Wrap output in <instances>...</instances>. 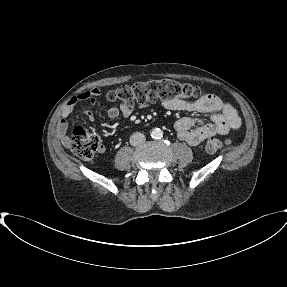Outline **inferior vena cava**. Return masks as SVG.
Returning a JSON list of instances; mask_svg holds the SVG:
<instances>
[{
    "mask_svg": "<svg viewBox=\"0 0 287 287\" xmlns=\"http://www.w3.org/2000/svg\"><path fill=\"white\" fill-rule=\"evenodd\" d=\"M146 140V137L144 134L136 132L134 134L131 135L130 137V144L132 146H139L141 144H143Z\"/></svg>",
    "mask_w": 287,
    "mask_h": 287,
    "instance_id": "inferior-vena-cava-1",
    "label": "inferior vena cava"
}]
</instances>
